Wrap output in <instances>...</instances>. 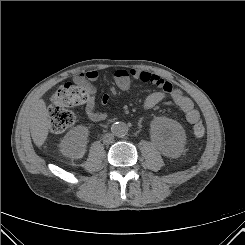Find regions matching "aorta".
I'll list each match as a JSON object with an SVG mask.
<instances>
[{"label":"aorta","instance_id":"1","mask_svg":"<svg viewBox=\"0 0 245 245\" xmlns=\"http://www.w3.org/2000/svg\"><path fill=\"white\" fill-rule=\"evenodd\" d=\"M112 132L116 136H124L128 132V126L123 122H117L112 125Z\"/></svg>","mask_w":245,"mask_h":245}]
</instances>
